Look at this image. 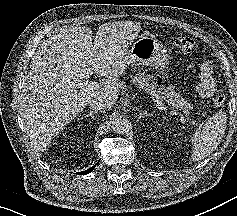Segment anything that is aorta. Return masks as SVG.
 Returning <instances> with one entry per match:
<instances>
[{"mask_svg":"<svg viewBox=\"0 0 237 216\" xmlns=\"http://www.w3.org/2000/svg\"><path fill=\"white\" fill-rule=\"evenodd\" d=\"M128 128V121L121 115H117L112 120V129L117 133H123Z\"/></svg>","mask_w":237,"mask_h":216,"instance_id":"aorta-1","label":"aorta"}]
</instances>
